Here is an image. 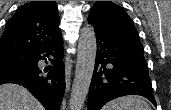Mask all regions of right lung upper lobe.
Returning a JSON list of instances; mask_svg holds the SVG:
<instances>
[{"instance_id": "cb5924a9", "label": "right lung upper lobe", "mask_w": 171, "mask_h": 110, "mask_svg": "<svg viewBox=\"0 0 171 110\" xmlns=\"http://www.w3.org/2000/svg\"><path fill=\"white\" fill-rule=\"evenodd\" d=\"M55 1H32L9 19L0 41L2 51L34 52L61 38Z\"/></svg>"}]
</instances>
